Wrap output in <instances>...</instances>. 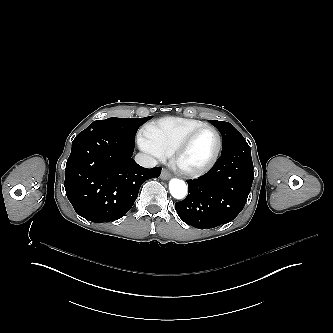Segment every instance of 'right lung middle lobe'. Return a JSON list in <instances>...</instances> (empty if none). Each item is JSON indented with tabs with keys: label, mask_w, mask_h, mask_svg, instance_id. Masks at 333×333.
<instances>
[{
	"label": "right lung middle lobe",
	"mask_w": 333,
	"mask_h": 333,
	"mask_svg": "<svg viewBox=\"0 0 333 333\" xmlns=\"http://www.w3.org/2000/svg\"><path fill=\"white\" fill-rule=\"evenodd\" d=\"M151 119V116L146 118H108L105 120H96L91 123L82 134H91L97 131L107 132L116 136L125 137L135 140V135L138 128Z\"/></svg>",
	"instance_id": "obj_1"
}]
</instances>
